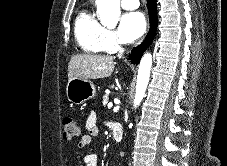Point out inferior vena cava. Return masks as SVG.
<instances>
[{"instance_id": "obj_1", "label": "inferior vena cava", "mask_w": 227, "mask_h": 166, "mask_svg": "<svg viewBox=\"0 0 227 166\" xmlns=\"http://www.w3.org/2000/svg\"><path fill=\"white\" fill-rule=\"evenodd\" d=\"M123 53H124V48L119 47V49H118V57L121 58L123 56Z\"/></svg>"}]
</instances>
